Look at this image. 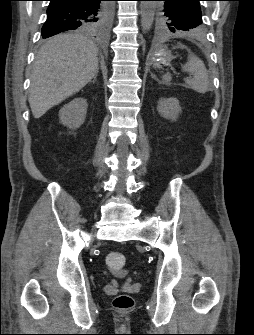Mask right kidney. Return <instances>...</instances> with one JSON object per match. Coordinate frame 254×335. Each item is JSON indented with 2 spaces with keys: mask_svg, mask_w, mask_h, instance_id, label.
Wrapping results in <instances>:
<instances>
[{
  "mask_svg": "<svg viewBox=\"0 0 254 335\" xmlns=\"http://www.w3.org/2000/svg\"><path fill=\"white\" fill-rule=\"evenodd\" d=\"M87 107L86 99L81 97L73 99L60 109L59 119L61 123L70 129L79 128L85 121Z\"/></svg>",
  "mask_w": 254,
  "mask_h": 335,
  "instance_id": "ca27d5eb",
  "label": "right kidney"
}]
</instances>
